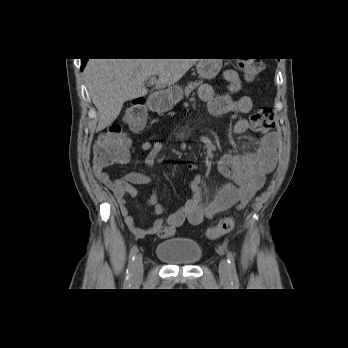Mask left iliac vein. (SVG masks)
Returning <instances> with one entry per match:
<instances>
[{
    "label": "left iliac vein",
    "instance_id": "1",
    "mask_svg": "<svg viewBox=\"0 0 348 348\" xmlns=\"http://www.w3.org/2000/svg\"><path fill=\"white\" fill-rule=\"evenodd\" d=\"M219 276L223 282L230 280L229 266L225 259H222L219 263Z\"/></svg>",
    "mask_w": 348,
    "mask_h": 348
}]
</instances>
